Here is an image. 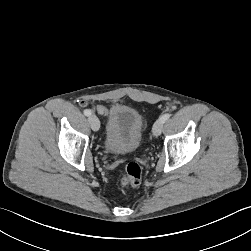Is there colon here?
<instances>
[{
    "mask_svg": "<svg viewBox=\"0 0 251 251\" xmlns=\"http://www.w3.org/2000/svg\"><path fill=\"white\" fill-rule=\"evenodd\" d=\"M95 114L98 117L103 116L104 119H106V123H111L112 121V115L110 112H108L107 107L101 105V103L97 102L94 104ZM142 180V168L141 166L136 162H130L127 164L125 168V173L123 174L120 185L122 188L128 187V186H137L140 184Z\"/></svg>",
    "mask_w": 251,
    "mask_h": 251,
    "instance_id": "5ec220e1",
    "label": "colon"
}]
</instances>
